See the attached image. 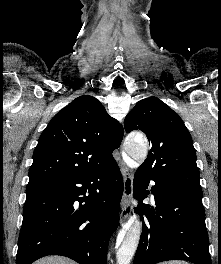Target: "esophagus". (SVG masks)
I'll list each match as a JSON object with an SVG mask.
<instances>
[{
  "label": "esophagus",
  "mask_w": 221,
  "mask_h": 264,
  "mask_svg": "<svg viewBox=\"0 0 221 264\" xmlns=\"http://www.w3.org/2000/svg\"><path fill=\"white\" fill-rule=\"evenodd\" d=\"M120 166L124 180L123 205L120 213V221L123 222L131 215L133 210L129 202L133 194V174L131 169H129L123 161H120Z\"/></svg>",
  "instance_id": "obj_1"
}]
</instances>
